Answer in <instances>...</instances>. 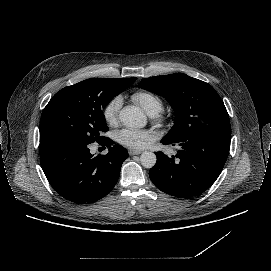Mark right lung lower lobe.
Here are the masks:
<instances>
[{
    "mask_svg": "<svg viewBox=\"0 0 271 271\" xmlns=\"http://www.w3.org/2000/svg\"><path fill=\"white\" fill-rule=\"evenodd\" d=\"M106 155L93 157L89 144L71 138L40 141V160L51 186L74 203H91L106 196L118 181L121 166L128 157L122 146L104 137Z\"/></svg>",
    "mask_w": 271,
    "mask_h": 271,
    "instance_id": "98d812e1",
    "label": "right lung lower lobe"
}]
</instances>
